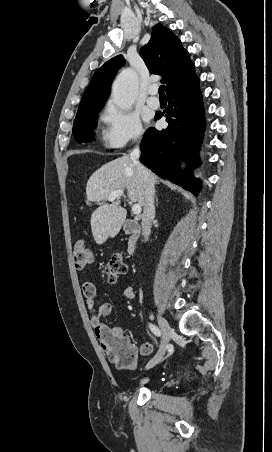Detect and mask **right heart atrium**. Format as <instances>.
<instances>
[{
    "label": "right heart atrium",
    "mask_w": 272,
    "mask_h": 452,
    "mask_svg": "<svg viewBox=\"0 0 272 452\" xmlns=\"http://www.w3.org/2000/svg\"><path fill=\"white\" fill-rule=\"evenodd\" d=\"M104 124L102 139L107 148L118 149L129 142H136L143 136L144 130L139 116L121 109L112 102L101 113Z\"/></svg>",
    "instance_id": "obj_1"
}]
</instances>
